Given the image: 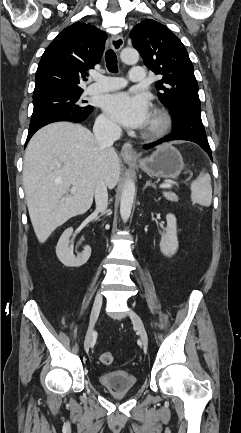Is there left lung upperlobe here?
<instances>
[{
    "label": "left lung upper lobe",
    "mask_w": 241,
    "mask_h": 433,
    "mask_svg": "<svg viewBox=\"0 0 241 433\" xmlns=\"http://www.w3.org/2000/svg\"><path fill=\"white\" fill-rule=\"evenodd\" d=\"M133 46L145 65L163 78L156 83L159 100L174 120V134L209 145L201 120L198 84L188 53L167 27L152 19L134 26Z\"/></svg>",
    "instance_id": "obj_1"
}]
</instances>
